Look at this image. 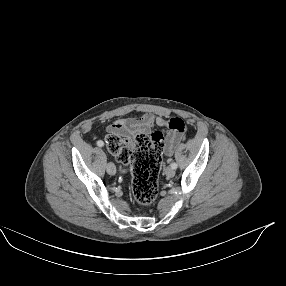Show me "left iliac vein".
<instances>
[{
	"label": "left iliac vein",
	"mask_w": 286,
	"mask_h": 286,
	"mask_svg": "<svg viewBox=\"0 0 286 286\" xmlns=\"http://www.w3.org/2000/svg\"><path fill=\"white\" fill-rule=\"evenodd\" d=\"M165 174L168 177H173L175 175V170L172 167H167L165 169Z\"/></svg>",
	"instance_id": "1"
}]
</instances>
